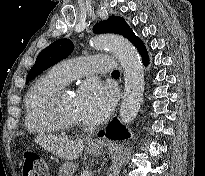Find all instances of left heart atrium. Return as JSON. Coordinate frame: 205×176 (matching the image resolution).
Wrapping results in <instances>:
<instances>
[{"label": "left heart atrium", "instance_id": "left-heart-atrium-1", "mask_svg": "<svg viewBox=\"0 0 205 176\" xmlns=\"http://www.w3.org/2000/svg\"><path fill=\"white\" fill-rule=\"evenodd\" d=\"M114 100V91L96 79L87 80L76 93L78 112L83 120L90 123L104 120Z\"/></svg>", "mask_w": 205, "mask_h": 176}]
</instances>
